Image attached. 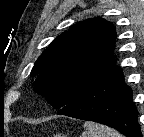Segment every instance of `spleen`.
I'll return each instance as SVG.
<instances>
[{
    "mask_svg": "<svg viewBox=\"0 0 144 137\" xmlns=\"http://www.w3.org/2000/svg\"><path fill=\"white\" fill-rule=\"evenodd\" d=\"M84 129L85 131L81 137H122V135L114 129L92 121L85 122Z\"/></svg>",
    "mask_w": 144,
    "mask_h": 137,
    "instance_id": "1",
    "label": "spleen"
}]
</instances>
